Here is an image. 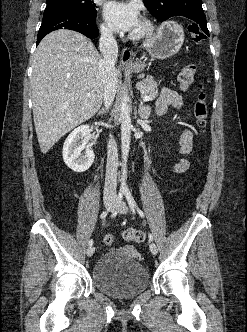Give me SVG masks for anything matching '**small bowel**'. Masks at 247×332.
I'll list each match as a JSON object with an SVG mask.
<instances>
[{
  "mask_svg": "<svg viewBox=\"0 0 247 332\" xmlns=\"http://www.w3.org/2000/svg\"><path fill=\"white\" fill-rule=\"evenodd\" d=\"M169 106L176 109L182 108V101L179 95L170 89H163L160 97L156 102V114L163 115ZM193 145V133L189 129H185L180 137V153L187 155L191 152ZM189 167V162L186 158H181L173 167L175 173H183Z\"/></svg>",
  "mask_w": 247,
  "mask_h": 332,
  "instance_id": "c3829d8e",
  "label": "small bowel"
}]
</instances>
